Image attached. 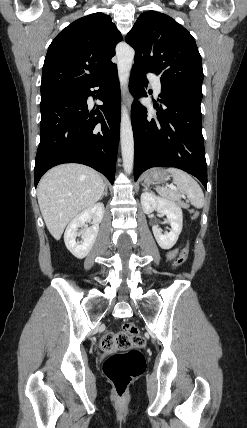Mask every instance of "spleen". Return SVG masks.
<instances>
[{
  "label": "spleen",
  "instance_id": "spleen-1",
  "mask_svg": "<svg viewBox=\"0 0 247 428\" xmlns=\"http://www.w3.org/2000/svg\"><path fill=\"white\" fill-rule=\"evenodd\" d=\"M167 172L172 174L173 181L179 189V193L167 187L157 188V192L164 198L178 201L181 197L187 196L190 203L196 208H202L205 203L204 194L199 184L186 172L169 168Z\"/></svg>",
  "mask_w": 247,
  "mask_h": 428
}]
</instances>
